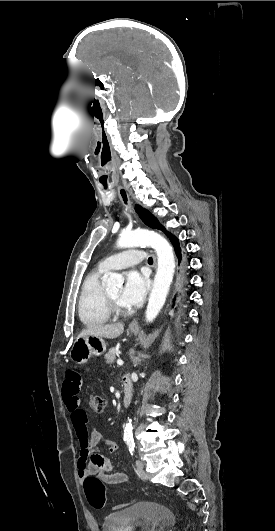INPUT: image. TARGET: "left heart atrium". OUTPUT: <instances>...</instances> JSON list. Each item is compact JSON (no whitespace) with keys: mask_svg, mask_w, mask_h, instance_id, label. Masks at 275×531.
<instances>
[{"mask_svg":"<svg viewBox=\"0 0 275 531\" xmlns=\"http://www.w3.org/2000/svg\"><path fill=\"white\" fill-rule=\"evenodd\" d=\"M148 276L144 270L131 269L125 274L124 286L121 289L120 301L125 307H138L148 288Z\"/></svg>","mask_w":275,"mask_h":531,"instance_id":"left-heart-atrium-1","label":"left heart atrium"}]
</instances>
